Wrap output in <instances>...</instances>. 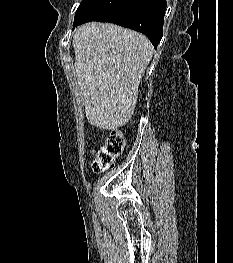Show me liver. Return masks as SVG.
<instances>
[{
    "instance_id": "liver-1",
    "label": "liver",
    "mask_w": 233,
    "mask_h": 263,
    "mask_svg": "<svg viewBox=\"0 0 233 263\" xmlns=\"http://www.w3.org/2000/svg\"><path fill=\"white\" fill-rule=\"evenodd\" d=\"M72 45L89 123L106 130L127 124L153 55L149 39L112 23L91 22L76 29Z\"/></svg>"
}]
</instances>
